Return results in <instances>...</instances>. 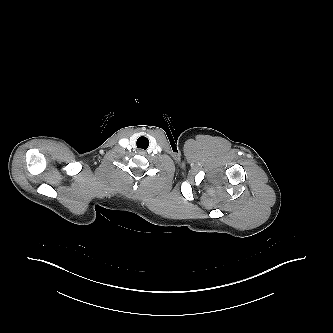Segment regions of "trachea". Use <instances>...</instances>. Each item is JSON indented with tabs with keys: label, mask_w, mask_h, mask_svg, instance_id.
Here are the masks:
<instances>
[{
	"label": "trachea",
	"mask_w": 333,
	"mask_h": 333,
	"mask_svg": "<svg viewBox=\"0 0 333 333\" xmlns=\"http://www.w3.org/2000/svg\"><path fill=\"white\" fill-rule=\"evenodd\" d=\"M137 148H140V149H147L148 148V146H149V140H148V138H146V137H144V136H142V137H139L138 139H137Z\"/></svg>",
	"instance_id": "3493384b"
}]
</instances>
